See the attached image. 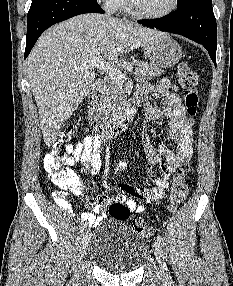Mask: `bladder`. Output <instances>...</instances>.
Instances as JSON below:
<instances>
[{"label":"bladder","instance_id":"1","mask_svg":"<svg viewBox=\"0 0 233 286\" xmlns=\"http://www.w3.org/2000/svg\"><path fill=\"white\" fill-rule=\"evenodd\" d=\"M88 255L97 267L109 273L139 269L150 256L147 240L122 221L100 226L88 244Z\"/></svg>","mask_w":233,"mask_h":286}]
</instances>
